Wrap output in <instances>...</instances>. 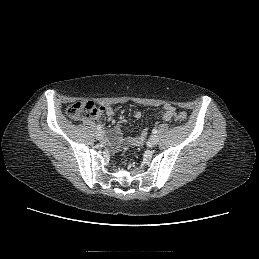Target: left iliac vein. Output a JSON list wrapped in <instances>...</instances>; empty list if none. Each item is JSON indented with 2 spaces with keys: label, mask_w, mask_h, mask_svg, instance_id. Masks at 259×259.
Instances as JSON below:
<instances>
[{
  "label": "left iliac vein",
  "mask_w": 259,
  "mask_h": 259,
  "mask_svg": "<svg viewBox=\"0 0 259 259\" xmlns=\"http://www.w3.org/2000/svg\"><path fill=\"white\" fill-rule=\"evenodd\" d=\"M159 142V138L157 135H151L150 138H149V143L151 145H157Z\"/></svg>",
  "instance_id": "obj_1"
}]
</instances>
